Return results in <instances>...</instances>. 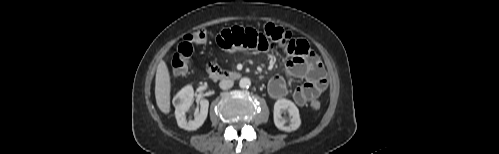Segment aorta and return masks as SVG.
I'll list each match as a JSON object with an SVG mask.
<instances>
[{
	"label": "aorta",
	"mask_w": 499,
	"mask_h": 154,
	"mask_svg": "<svg viewBox=\"0 0 499 154\" xmlns=\"http://www.w3.org/2000/svg\"><path fill=\"white\" fill-rule=\"evenodd\" d=\"M250 85H251V81L249 78L244 77V78L240 79V81H239L240 88H243V89L249 88Z\"/></svg>",
	"instance_id": "obj_1"
}]
</instances>
